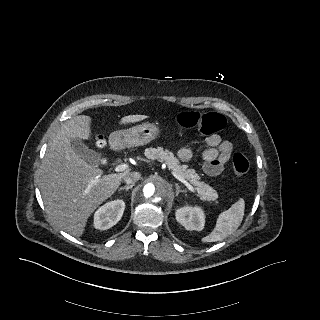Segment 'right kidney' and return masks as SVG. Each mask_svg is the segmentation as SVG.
Listing matches in <instances>:
<instances>
[{
    "label": "right kidney",
    "mask_w": 320,
    "mask_h": 320,
    "mask_svg": "<svg viewBox=\"0 0 320 320\" xmlns=\"http://www.w3.org/2000/svg\"><path fill=\"white\" fill-rule=\"evenodd\" d=\"M125 209L123 200H114L101 206L94 215V227L107 230L117 224Z\"/></svg>",
    "instance_id": "ca27d5eb"
}]
</instances>
